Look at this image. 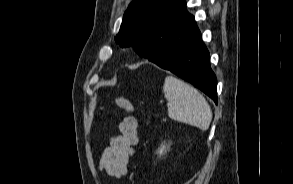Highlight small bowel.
<instances>
[{"instance_id":"small-bowel-1","label":"small bowel","mask_w":293,"mask_h":184,"mask_svg":"<svg viewBox=\"0 0 293 184\" xmlns=\"http://www.w3.org/2000/svg\"><path fill=\"white\" fill-rule=\"evenodd\" d=\"M119 134L109 140L98 168L109 176L121 178L127 174L128 163L138 143V121L133 116L123 118L118 125Z\"/></svg>"}]
</instances>
